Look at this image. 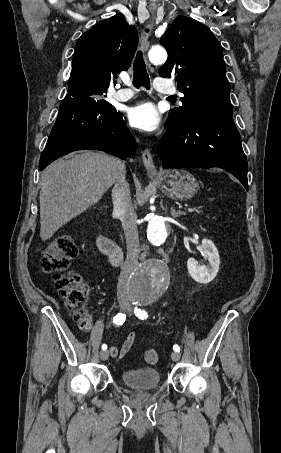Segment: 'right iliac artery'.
<instances>
[{"mask_svg": "<svg viewBox=\"0 0 281 453\" xmlns=\"http://www.w3.org/2000/svg\"><path fill=\"white\" fill-rule=\"evenodd\" d=\"M114 323L116 325H122L124 322H125V319H126V315L125 314H122V313H119L117 314L114 318ZM102 349L103 350H106L107 349V345L106 344H103L102 345Z\"/></svg>", "mask_w": 281, "mask_h": 453, "instance_id": "right-iliac-artery-1", "label": "right iliac artery"}]
</instances>
